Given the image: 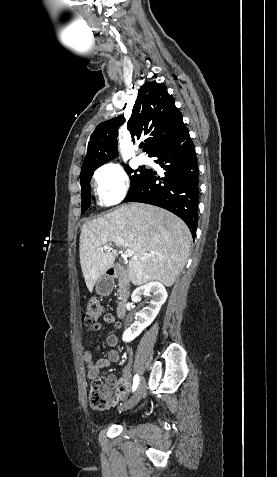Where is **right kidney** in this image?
Here are the masks:
<instances>
[{
	"label": "right kidney",
	"mask_w": 277,
	"mask_h": 477,
	"mask_svg": "<svg viewBox=\"0 0 277 477\" xmlns=\"http://www.w3.org/2000/svg\"><path fill=\"white\" fill-rule=\"evenodd\" d=\"M145 295L152 297L150 305L138 312V321L124 331L122 336L124 342H130L139 336L154 321L167 299V291L160 282H150L138 287L133 291L131 299L133 302H138Z\"/></svg>",
	"instance_id": "obj_1"
}]
</instances>
